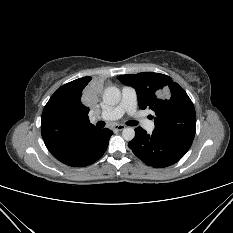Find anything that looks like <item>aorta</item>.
Returning <instances> with one entry per match:
<instances>
[{"mask_svg":"<svg viewBox=\"0 0 233 233\" xmlns=\"http://www.w3.org/2000/svg\"><path fill=\"white\" fill-rule=\"evenodd\" d=\"M121 100V92L117 87H107L103 93V101L108 105H117ZM122 137L126 141H131L135 137V131L133 128L128 127L123 129Z\"/></svg>","mask_w":233,"mask_h":233,"instance_id":"1","label":"aorta"}]
</instances>
